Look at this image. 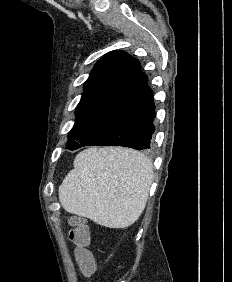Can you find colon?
Masks as SVG:
<instances>
[{
	"label": "colon",
	"mask_w": 232,
	"mask_h": 282,
	"mask_svg": "<svg viewBox=\"0 0 232 282\" xmlns=\"http://www.w3.org/2000/svg\"><path fill=\"white\" fill-rule=\"evenodd\" d=\"M71 230L69 241L76 247V257L85 274L89 275L94 271V261L87 247L90 242L88 226L83 218L73 217L70 221Z\"/></svg>",
	"instance_id": "1"
}]
</instances>
